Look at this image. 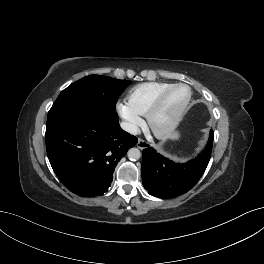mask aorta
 Instances as JSON below:
<instances>
[{
    "instance_id": "obj_1",
    "label": "aorta",
    "mask_w": 264,
    "mask_h": 264,
    "mask_svg": "<svg viewBox=\"0 0 264 264\" xmlns=\"http://www.w3.org/2000/svg\"><path fill=\"white\" fill-rule=\"evenodd\" d=\"M128 158L131 160V161H136L138 159H140L141 157V152L139 149L137 148H131L129 151H128Z\"/></svg>"
}]
</instances>
